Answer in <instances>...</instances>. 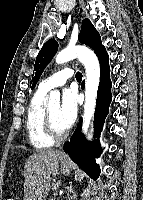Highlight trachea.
Here are the masks:
<instances>
[{"mask_svg": "<svg viewBox=\"0 0 143 200\" xmlns=\"http://www.w3.org/2000/svg\"><path fill=\"white\" fill-rule=\"evenodd\" d=\"M76 80L81 81L82 80V74L80 72L76 73Z\"/></svg>", "mask_w": 143, "mask_h": 200, "instance_id": "1", "label": "trachea"}]
</instances>
